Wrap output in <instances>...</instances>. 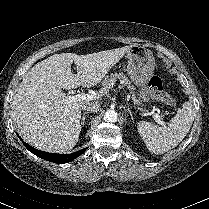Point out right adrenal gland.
Returning a JSON list of instances; mask_svg holds the SVG:
<instances>
[{
	"instance_id": "obj_1",
	"label": "right adrenal gland",
	"mask_w": 209,
	"mask_h": 209,
	"mask_svg": "<svg viewBox=\"0 0 209 209\" xmlns=\"http://www.w3.org/2000/svg\"><path fill=\"white\" fill-rule=\"evenodd\" d=\"M89 112H84L82 114V118H81V122H80V125L81 126H84V122H85V119H86V116L88 115Z\"/></svg>"
}]
</instances>
